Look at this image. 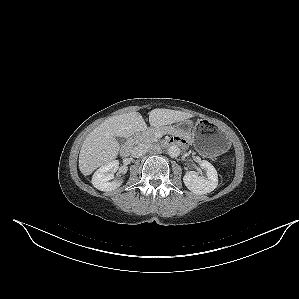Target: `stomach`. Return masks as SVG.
<instances>
[{
	"label": "stomach",
	"mask_w": 299,
	"mask_h": 299,
	"mask_svg": "<svg viewBox=\"0 0 299 299\" xmlns=\"http://www.w3.org/2000/svg\"><path fill=\"white\" fill-rule=\"evenodd\" d=\"M178 128L188 133L196 149L204 155H215L226 149L228 137L219 125L205 119L192 123L184 120Z\"/></svg>",
	"instance_id": "1"
}]
</instances>
